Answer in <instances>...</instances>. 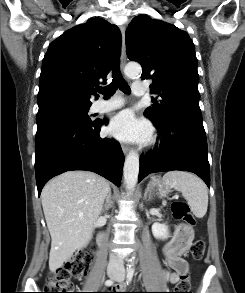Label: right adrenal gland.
I'll list each match as a JSON object with an SVG mask.
<instances>
[{"mask_svg": "<svg viewBox=\"0 0 245 293\" xmlns=\"http://www.w3.org/2000/svg\"><path fill=\"white\" fill-rule=\"evenodd\" d=\"M111 207H112V200H111V190H110L106 197V203L104 204L103 210H108Z\"/></svg>", "mask_w": 245, "mask_h": 293, "instance_id": "1", "label": "right adrenal gland"}]
</instances>
